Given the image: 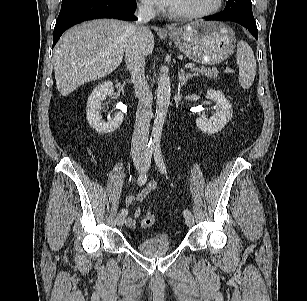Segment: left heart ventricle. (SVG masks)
Returning <instances> with one entry per match:
<instances>
[{"instance_id":"b2bd125f","label":"left heart ventricle","mask_w":307,"mask_h":301,"mask_svg":"<svg viewBox=\"0 0 307 301\" xmlns=\"http://www.w3.org/2000/svg\"><path fill=\"white\" fill-rule=\"evenodd\" d=\"M215 0H177L172 8L174 12H192L207 9Z\"/></svg>"}]
</instances>
